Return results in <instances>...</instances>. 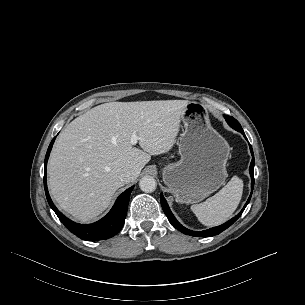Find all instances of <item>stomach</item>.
I'll return each mask as SVG.
<instances>
[{"label": "stomach", "instance_id": "stomach-1", "mask_svg": "<svg viewBox=\"0 0 305 305\" xmlns=\"http://www.w3.org/2000/svg\"><path fill=\"white\" fill-rule=\"evenodd\" d=\"M181 159L163 169V181L179 203H198L218 190L227 177L230 147L211 126L208 111L189 102L181 115Z\"/></svg>", "mask_w": 305, "mask_h": 305}]
</instances>
